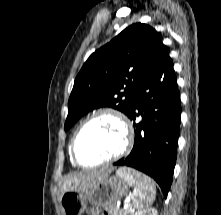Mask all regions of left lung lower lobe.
Returning a JSON list of instances; mask_svg holds the SVG:
<instances>
[{
  "mask_svg": "<svg viewBox=\"0 0 221 215\" xmlns=\"http://www.w3.org/2000/svg\"><path fill=\"white\" fill-rule=\"evenodd\" d=\"M176 80L169 52L162 44L127 115L134 121L133 149L126 158L114 163L152 177L165 198L173 179L180 134L181 102ZM137 116H141L139 123H135Z\"/></svg>",
  "mask_w": 221,
  "mask_h": 215,
  "instance_id": "left-lung-lower-lobe-1",
  "label": "left lung lower lobe"
}]
</instances>
